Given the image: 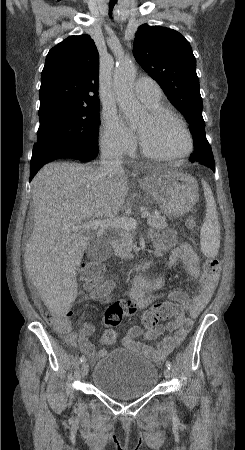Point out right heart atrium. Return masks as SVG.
<instances>
[{
	"mask_svg": "<svg viewBox=\"0 0 245 450\" xmlns=\"http://www.w3.org/2000/svg\"><path fill=\"white\" fill-rule=\"evenodd\" d=\"M100 145L103 151L113 156L132 153L136 148L135 137L115 113L102 116Z\"/></svg>",
	"mask_w": 245,
	"mask_h": 450,
	"instance_id": "d8ad5b80",
	"label": "right heart atrium"
}]
</instances>
